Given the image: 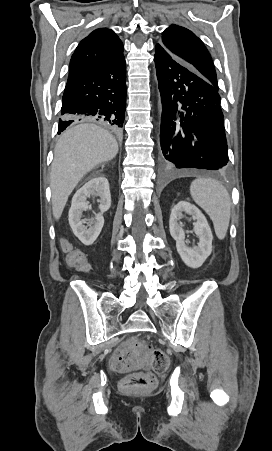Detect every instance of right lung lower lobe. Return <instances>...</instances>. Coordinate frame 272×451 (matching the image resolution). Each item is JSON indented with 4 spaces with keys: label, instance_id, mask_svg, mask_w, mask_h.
<instances>
[{
    "label": "right lung lower lobe",
    "instance_id": "right-lung-lower-lobe-1",
    "mask_svg": "<svg viewBox=\"0 0 272 451\" xmlns=\"http://www.w3.org/2000/svg\"><path fill=\"white\" fill-rule=\"evenodd\" d=\"M125 109L126 68L122 54L109 62L69 74L58 133L78 121H99L119 133Z\"/></svg>",
    "mask_w": 272,
    "mask_h": 451
}]
</instances>
